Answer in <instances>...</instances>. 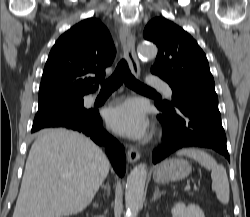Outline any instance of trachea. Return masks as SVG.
I'll return each mask as SVG.
<instances>
[{
	"mask_svg": "<svg viewBox=\"0 0 250 217\" xmlns=\"http://www.w3.org/2000/svg\"><path fill=\"white\" fill-rule=\"evenodd\" d=\"M123 82H125V85H127L129 88H132L134 90L154 91L152 88L139 82L131 74L129 67H128V64H127L125 59H122L119 62L114 73L111 75V77L101 83V91L102 92H113L118 87H120V85Z\"/></svg>",
	"mask_w": 250,
	"mask_h": 217,
	"instance_id": "3493384b",
	"label": "trachea"
}]
</instances>
